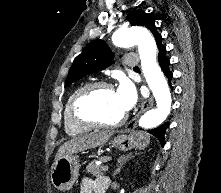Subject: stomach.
I'll use <instances>...</instances> for the list:
<instances>
[{
    "mask_svg": "<svg viewBox=\"0 0 221 193\" xmlns=\"http://www.w3.org/2000/svg\"><path fill=\"white\" fill-rule=\"evenodd\" d=\"M150 142L146 132L121 133L116 136L111 144L120 151L143 149ZM80 164L76 155H66L55 161L51 167V181L58 190H69L78 177Z\"/></svg>",
    "mask_w": 221,
    "mask_h": 193,
    "instance_id": "stomach-1",
    "label": "stomach"
}]
</instances>
